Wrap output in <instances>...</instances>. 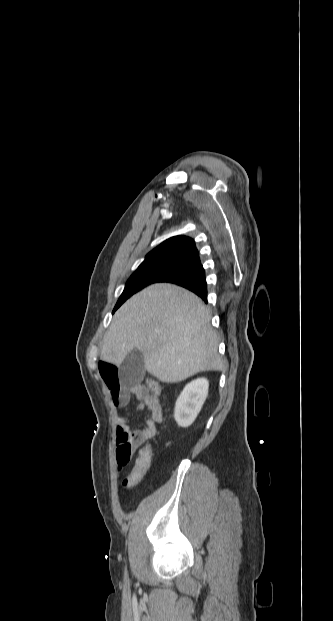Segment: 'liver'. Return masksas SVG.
<instances>
[{
    "mask_svg": "<svg viewBox=\"0 0 333 621\" xmlns=\"http://www.w3.org/2000/svg\"><path fill=\"white\" fill-rule=\"evenodd\" d=\"M210 320L209 310L192 292L173 284L151 285L115 313L101 359L119 366L137 349L143 354L146 370L167 383L221 370L218 340Z\"/></svg>",
    "mask_w": 333,
    "mask_h": 621,
    "instance_id": "obj_1",
    "label": "liver"
}]
</instances>
